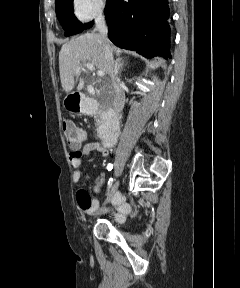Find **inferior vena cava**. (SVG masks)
Returning a JSON list of instances; mask_svg holds the SVG:
<instances>
[{"instance_id":"obj_1","label":"inferior vena cava","mask_w":240,"mask_h":288,"mask_svg":"<svg viewBox=\"0 0 240 288\" xmlns=\"http://www.w3.org/2000/svg\"><path fill=\"white\" fill-rule=\"evenodd\" d=\"M95 27H96V30L98 31L99 37L101 38L103 42L105 58H106L107 65H108V74L110 76L112 86L114 89V97H113L114 115H112L107 120V125H110L112 123H118V116H120L121 111L124 107L125 97H124V92L122 90V87L117 77L118 73L115 71L113 55H112V52L108 43V39H107V32H108L107 24L102 14H99L98 17L96 18Z\"/></svg>"}]
</instances>
